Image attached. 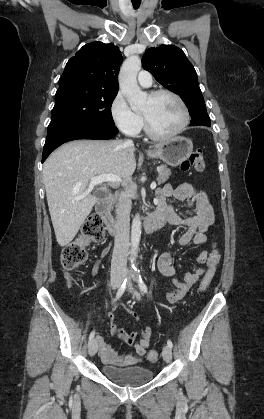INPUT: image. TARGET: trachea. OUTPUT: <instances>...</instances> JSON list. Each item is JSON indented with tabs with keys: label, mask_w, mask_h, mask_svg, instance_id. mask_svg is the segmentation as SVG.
I'll use <instances>...</instances> for the list:
<instances>
[{
	"label": "trachea",
	"mask_w": 264,
	"mask_h": 419,
	"mask_svg": "<svg viewBox=\"0 0 264 419\" xmlns=\"http://www.w3.org/2000/svg\"><path fill=\"white\" fill-rule=\"evenodd\" d=\"M139 6H140V3H133V7H134V9H138V8H139Z\"/></svg>",
	"instance_id": "3493384b"
}]
</instances>
